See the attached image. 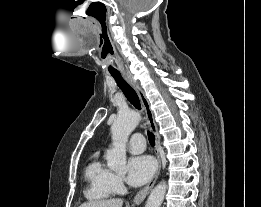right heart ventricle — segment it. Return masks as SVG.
I'll list each match as a JSON object with an SVG mask.
<instances>
[{"label": "right heart ventricle", "mask_w": 261, "mask_h": 207, "mask_svg": "<svg viewBox=\"0 0 261 207\" xmlns=\"http://www.w3.org/2000/svg\"><path fill=\"white\" fill-rule=\"evenodd\" d=\"M113 172L100 157H94L85 168L87 187L85 196L90 200H105L114 193L112 188Z\"/></svg>", "instance_id": "right-heart-ventricle-1"}]
</instances>
